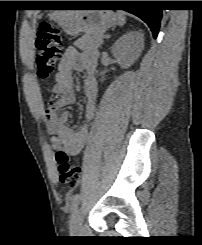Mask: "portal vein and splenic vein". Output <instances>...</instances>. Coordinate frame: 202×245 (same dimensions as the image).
<instances>
[{
    "label": "portal vein and splenic vein",
    "mask_w": 202,
    "mask_h": 245,
    "mask_svg": "<svg viewBox=\"0 0 202 245\" xmlns=\"http://www.w3.org/2000/svg\"><path fill=\"white\" fill-rule=\"evenodd\" d=\"M99 41L101 42V44L104 43V40L102 38H100Z\"/></svg>",
    "instance_id": "obj_1"
}]
</instances>
